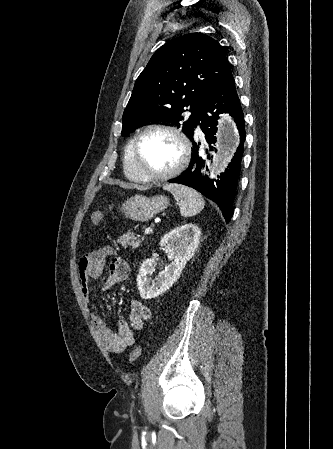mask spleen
<instances>
[{
    "mask_svg": "<svg viewBox=\"0 0 333 449\" xmlns=\"http://www.w3.org/2000/svg\"><path fill=\"white\" fill-rule=\"evenodd\" d=\"M171 192L180 206V213L184 217L198 214L205 206L204 199L194 189L180 184H167L163 187Z\"/></svg>",
    "mask_w": 333,
    "mask_h": 449,
    "instance_id": "3e777b00",
    "label": "spleen"
}]
</instances>
